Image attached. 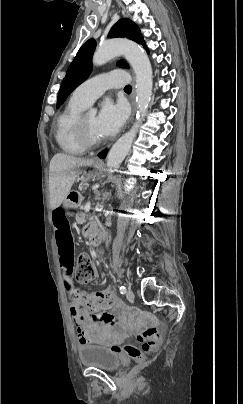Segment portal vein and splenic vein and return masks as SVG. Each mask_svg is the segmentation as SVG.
Masks as SVG:
<instances>
[{
    "mask_svg": "<svg viewBox=\"0 0 243 404\" xmlns=\"http://www.w3.org/2000/svg\"><path fill=\"white\" fill-rule=\"evenodd\" d=\"M84 210H85V213L89 212V210H90V202H87V204H85Z\"/></svg>",
    "mask_w": 243,
    "mask_h": 404,
    "instance_id": "1",
    "label": "portal vein and splenic vein"
}]
</instances>
